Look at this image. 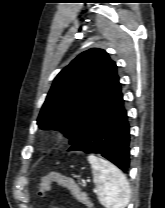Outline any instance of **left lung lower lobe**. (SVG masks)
<instances>
[{"label":"left lung lower lobe","instance_id":"1","mask_svg":"<svg viewBox=\"0 0 165 208\" xmlns=\"http://www.w3.org/2000/svg\"><path fill=\"white\" fill-rule=\"evenodd\" d=\"M129 143L128 117L118 81L67 151L99 153L127 173L130 165Z\"/></svg>","mask_w":165,"mask_h":208}]
</instances>
